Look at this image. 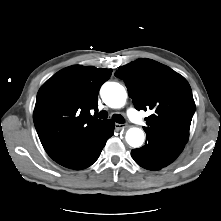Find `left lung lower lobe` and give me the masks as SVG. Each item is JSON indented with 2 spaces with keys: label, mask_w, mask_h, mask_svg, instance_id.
Returning a JSON list of instances; mask_svg holds the SVG:
<instances>
[{
  "label": "left lung lower lobe",
  "mask_w": 221,
  "mask_h": 221,
  "mask_svg": "<svg viewBox=\"0 0 221 221\" xmlns=\"http://www.w3.org/2000/svg\"><path fill=\"white\" fill-rule=\"evenodd\" d=\"M180 153L160 141L148 138L145 146L131 151L135 162L148 170H160L172 163Z\"/></svg>",
  "instance_id": "1"
}]
</instances>
